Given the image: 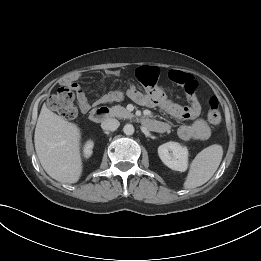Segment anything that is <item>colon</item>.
<instances>
[{
  "label": "colon",
  "mask_w": 261,
  "mask_h": 261,
  "mask_svg": "<svg viewBox=\"0 0 261 261\" xmlns=\"http://www.w3.org/2000/svg\"><path fill=\"white\" fill-rule=\"evenodd\" d=\"M72 90L73 89L69 85L64 84L57 90L56 94L50 97L48 102L50 108L65 119H73L77 115V108L74 104ZM207 118L209 123L213 126H218L221 123L218 101L214 97L210 100V108Z\"/></svg>",
  "instance_id": "1"
}]
</instances>
